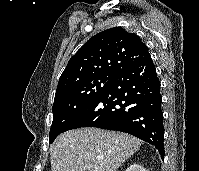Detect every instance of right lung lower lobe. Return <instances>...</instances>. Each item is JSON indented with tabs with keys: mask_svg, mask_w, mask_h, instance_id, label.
I'll list each match as a JSON object with an SVG mask.
<instances>
[{
	"mask_svg": "<svg viewBox=\"0 0 199 171\" xmlns=\"http://www.w3.org/2000/svg\"><path fill=\"white\" fill-rule=\"evenodd\" d=\"M161 102L160 82L149 57L120 72L63 132L80 127L122 131L154 145L164 157Z\"/></svg>",
	"mask_w": 199,
	"mask_h": 171,
	"instance_id": "1",
	"label": "right lung lower lobe"
}]
</instances>
